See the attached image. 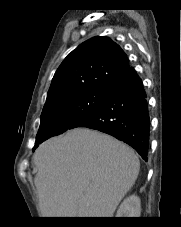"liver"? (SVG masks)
<instances>
[{
  "label": "liver",
  "mask_w": 181,
  "mask_h": 227,
  "mask_svg": "<svg viewBox=\"0 0 181 227\" xmlns=\"http://www.w3.org/2000/svg\"><path fill=\"white\" fill-rule=\"evenodd\" d=\"M33 159L43 217H112L140 169L132 148L87 128L46 140Z\"/></svg>",
  "instance_id": "6515ba94"
}]
</instances>
